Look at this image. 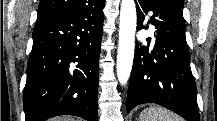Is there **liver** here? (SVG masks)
Returning a JSON list of instances; mask_svg holds the SVG:
<instances>
[{"label": "liver", "mask_w": 217, "mask_h": 121, "mask_svg": "<svg viewBox=\"0 0 217 121\" xmlns=\"http://www.w3.org/2000/svg\"><path fill=\"white\" fill-rule=\"evenodd\" d=\"M52 121H72V119L69 117H56L53 118Z\"/></svg>", "instance_id": "6515ba94"}]
</instances>
